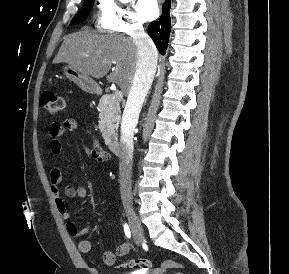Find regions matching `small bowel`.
Segmentation results:
<instances>
[{"label":"small bowel","instance_id":"c3829d8e","mask_svg":"<svg viewBox=\"0 0 289 274\" xmlns=\"http://www.w3.org/2000/svg\"><path fill=\"white\" fill-rule=\"evenodd\" d=\"M81 130L80 124L73 119H67L62 122H53L49 127V149L52 157L55 159L59 156L62 151V137L67 131ZM83 132L89 136L93 144L90 149L86 151V154L100 162H106L110 159V156L105 152L101 146L98 144L96 136L94 133L88 129H83ZM49 178L51 182V193L54 198V203L59 215L63 219L69 218V212L65 203V200L61 196L60 184L62 182V172L60 167L54 163L49 172ZM64 195L67 198H81L84 199L87 197V190L81 185L68 184L64 188ZM66 229L70 236L72 237H81L90 232L89 228L79 229L77 225L69 221L66 223ZM78 249L81 253L87 254L92 251V243L88 239H82L78 243ZM130 250V246L127 242L121 243L115 251H105L102 254V262L106 266H112L116 262L118 257L125 256Z\"/></svg>","mask_w":289,"mask_h":274}]
</instances>
